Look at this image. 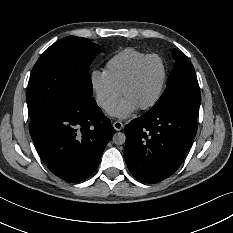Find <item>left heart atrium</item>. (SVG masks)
I'll use <instances>...</instances> for the list:
<instances>
[{"mask_svg":"<svg viewBox=\"0 0 233 233\" xmlns=\"http://www.w3.org/2000/svg\"><path fill=\"white\" fill-rule=\"evenodd\" d=\"M139 108V105L133 99L125 96L116 107L107 111V115L124 120L129 118Z\"/></svg>","mask_w":233,"mask_h":233,"instance_id":"39dd6f15","label":"left heart atrium"}]
</instances>
